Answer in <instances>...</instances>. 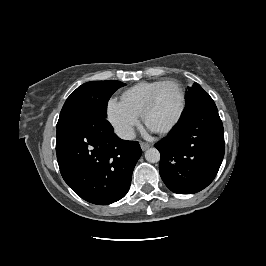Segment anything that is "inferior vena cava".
<instances>
[{
	"label": "inferior vena cava",
	"instance_id": "602c4592",
	"mask_svg": "<svg viewBox=\"0 0 266 266\" xmlns=\"http://www.w3.org/2000/svg\"><path fill=\"white\" fill-rule=\"evenodd\" d=\"M116 134L124 140H132L135 138V131L132 127L118 128Z\"/></svg>",
	"mask_w": 266,
	"mask_h": 266
}]
</instances>
